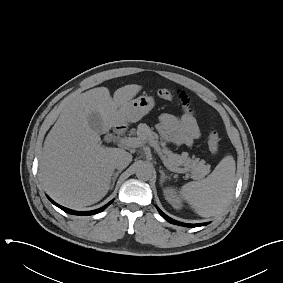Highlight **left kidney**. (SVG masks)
Masks as SVG:
<instances>
[{
  "label": "left kidney",
  "instance_id": "left-kidney-1",
  "mask_svg": "<svg viewBox=\"0 0 283 283\" xmlns=\"http://www.w3.org/2000/svg\"><path fill=\"white\" fill-rule=\"evenodd\" d=\"M165 199L174 207L175 209H181L182 203L177 195L176 189L173 187H167L164 189Z\"/></svg>",
  "mask_w": 283,
  "mask_h": 283
}]
</instances>
